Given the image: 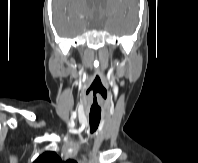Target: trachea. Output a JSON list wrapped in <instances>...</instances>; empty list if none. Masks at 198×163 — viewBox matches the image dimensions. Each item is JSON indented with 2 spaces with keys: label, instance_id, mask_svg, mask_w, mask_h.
<instances>
[{
  "label": "trachea",
  "instance_id": "1",
  "mask_svg": "<svg viewBox=\"0 0 198 163\" xmlns=\"http://www.w3.org/2000/svg\"><path fill=\"white\" fill-rule=\"evenodd\" d=\"M96 105H97V101H96ZM89 121H90V130L91 133L95 132L99 126L100 123V117H89Z\"/></svg>",
  "mask_w": 198,
  "mask_h": 163
}]
</instances>
